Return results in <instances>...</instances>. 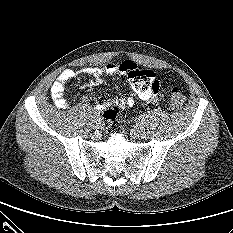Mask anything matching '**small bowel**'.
I'll return each mask as SVG.
<instances>
[{
  "mask_svg": "<svg viewBox=\"0 0 233 233\" xmlns=\"http://www.w3.org/2000/svg\"><path fill=\"white\" fill-rule=\"evenodd\" d=\"M134 66L139 65L130 60H121L111 62L100 67L83 68L79 71L65 69L60 73V75L51 86L52 99L57 107H67L68 103L64 96L67 82L79 76L80 74H85L92 76L94 78V82H100L103 80L104 77L111 75H118L127 78L135 96H130L125 99H119L117 101V104L120 108L134 107L137 103V99L140 101L157 102L162 96L160 94V82L157 79L155 73L150 70L152 73V77L148 82L134 81L129 77V72ZM84 103L88 106H94L97 110H102L106 106V100L102 96V94H100L97 99L93 96H86L84 98Z\"/></svg>",
  "mask_w": 233,
  "mask_h": 233,
  "instance_id": "c3829d8e",
  "label": "small bowel"
}]
</instances>
